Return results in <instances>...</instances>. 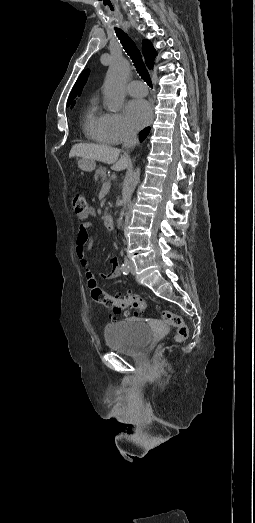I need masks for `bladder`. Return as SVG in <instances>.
Wrapping results in <instances>:
<instances>
[{
    "label": "bladder",
    "instance_id": "31cf9c89",
    "mask_svg": "<svg viewBox=\"0 0 255 523\" xmlns=\"http://www.w3.org/2000/svg\"><path fill=\"white\" fill-rule=\"evenodd\" d=\"M153 331L139 320L125 321L104 327L106 346L112 351L140 353Z\"/></svg>",
    "mask_w": 255,
    "mask_h": 523
}]
</instances>
